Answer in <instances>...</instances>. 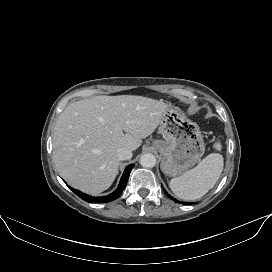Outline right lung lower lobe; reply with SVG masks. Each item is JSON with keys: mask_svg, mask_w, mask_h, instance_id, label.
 Returning <instances> with one entry per match:
<instances>
[{"mask_svg": "<svg viewBox=\"0 0 272 272\" xmlns=\"http://www.w3.org/2000/svg\"><path fill=\"white\" fill-rule=\"evenodd\" d=\"M133 167H134V164H131V165H129V166H127L125 168L124 173H123V175L121 177L120 183L118 185V188L114 192H112L111 194H109L107 196H103V197H92L90 195L82 193L81 191H78V190L73 189L71 187H69V188L76 195H78L80 198H82L83 200H85L87 202H90V203H106V202H110L112 200L117 199L120 196V194L122 193V191L124 190V188H125V186L127 184L130 172L133 169Z\"/></svg>", "mask_w": 272, "mask_h": 272, "instance_id": "right-lung-lower-lobe-1", "label": "right lung lower lobe"}]
</instances>
